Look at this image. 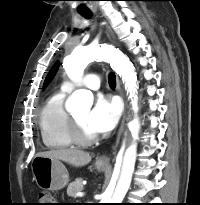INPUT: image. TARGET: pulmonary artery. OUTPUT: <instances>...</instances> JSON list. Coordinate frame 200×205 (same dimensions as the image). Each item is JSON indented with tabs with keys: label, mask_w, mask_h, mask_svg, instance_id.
I'll return each instance as SVG.
<instances>
[{
	"label": "pulmonary artery",
	"mask_w": 200,
	"mask_h": 205,
	"mask_svg": "<svg viewBox=\"0 0 200 205\" xmlns=\"http://www.w3.org/2000/svg\"><path fill=\"white\" fill-rule=\"evenodd\" d=\"M100 77L96 74H88L84 80L82 81V84L91 89V90H98L100 87ZM75 88V85L71 82H65L62 85V90L65 92H70Z\"/></svg>",
	"instance_id": "obj_1"
}]
</instances>
